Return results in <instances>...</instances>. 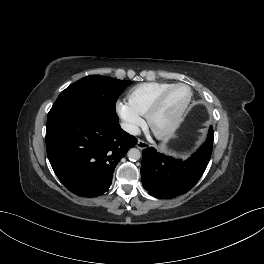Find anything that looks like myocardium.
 Masks as SVG:
<instances>
[{
    "label": "myocardium",
    "instance_id": "1",
    "mask_svg": "<svg viewBox=\"0 0 264 264\" xmlns=\"http://www.w3.org/2000/svg\"><path fill=\"white\" fill-rule=\"evenodd\" d=\"M177 87L186 88L188 90V97H187L184 105L182 106V108L179 110V112L175 116V118L165 128L157 129L154 126V118H155L156 114L159 112V110L161 109L163 102H164L166 96L168 95V93ZM191 100H192V90L185 83H174V84L169 85L165 89H163L157 95V97L155 98V100L153 101V103L151 104V106L149 107V109L145 115L146 123H147L148 127L150 128V130L157 137H160V138H164V137H167V136H170L171 134H173L178 129V127L180 126V124H181V122L185 116V113H186V111L190 105Z\"/></svg>",
    "mask_w": 264,
    "mask_h": 264
}]
</instances>
